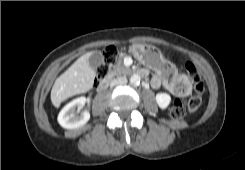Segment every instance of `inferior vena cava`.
Wrapping results in <instances>:
<instances>
[{
    "label": "inferior vena cava",
    "instance_id": "1",
    "mask_svg": "<svg viewBox=\"0 0 245 170\" xmlns=\"http://www.w3.org/2000/svg\"><path fill=\"white\" fill-rule=\"evenodd\" d=\"M127 83V78L126 77H117L110 82V87H114L117 85H124Z\"/></svg>",
    "mask_w": 245,
    "mask_h": 170
}]
</instances>
